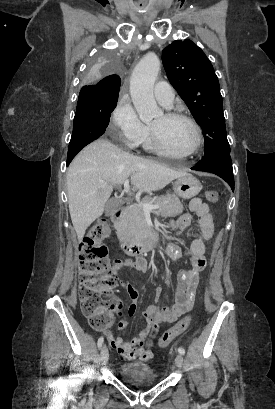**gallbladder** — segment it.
<instances>
[{"mask_svg": "<svg viewBox=\"0 0 275 409\" xmlns=\"http://www.w3.org/2000/svg\"><path fill=\"white\" fill-rule=\"evenodd\" d=\"M119 205H121L120 200L118 198H109L108 202H106L105 205V215L106 217H110L112 213H115L117 211Z\"/></svg>", "mask_w": 275, "mask_h": 409, "instance_id": "obj_1", "label": "gallbladder"}]
</instances>
